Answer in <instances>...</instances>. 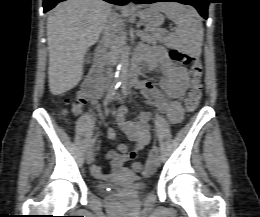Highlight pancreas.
Listing matches in <instances>:
<instances>
[{"label": "pancreas", "instance_id": "1", "mask_svg": "<svg viewBox=\"0 0 260 217\" xmlns=\"http://www.w3.org/2000/svg\"><path fill=\"white\" fill-rule=\"evenodd\" d=\"M140 38L142 41L147 42L149 44H156L158 42L163 41L161 35L155 30H150L149 32L141 34Z\"/></svg>", "mask_w": 260, "mask_h": 217}]
</instances>
